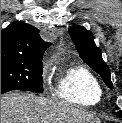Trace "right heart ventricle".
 Listing matches in <instances>:
<instances>
[{"instance_id":"right-heart-ventricle-1","label":"right heart ventricle","mask_w":122,"mask_h":123,"mask_svg":"<svg viewBox=\"0 0 122 123\" xmlns=\"http://www.w3.org/2000/svg\"><path fill=\"white\" fill-rule=\"evenodd\" d=\"M55 95L78 106H94L102 98L97 77L85 66H71L58 74Z\"/></svg>"}]
</instances>
